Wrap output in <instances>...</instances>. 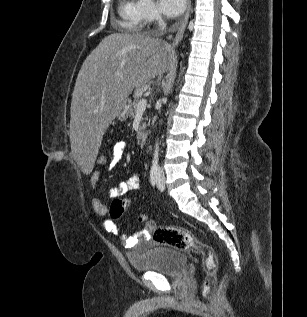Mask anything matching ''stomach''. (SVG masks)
<instances>
[{
  "mask_svg": "<svg viewBox=\"0 0 307 317\" xmlns=\"http://www.w3.org/2000/svg\"><path fill=\"white\" fill-rule=\"evenodd\" d=\"M131 108V103L130 101L127 99L118 109L117 113H116V117L118 118V120L120 121H124L129 117V111Z\"/></svg>",
  "mask_w": 307,
  "mask_h": 317,
  "instance_id": "stomach-1",
  "label": "stomach"
}]
</instances>
